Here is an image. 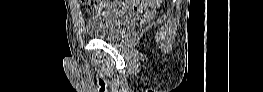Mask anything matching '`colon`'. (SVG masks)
I'll return each instance as SVG.
<instances>
[{
	"instance_id": "1",
	"label": "colon",
	"mask_w": 263,
	"mask_h": 92,
	"mask_svg": "<svg viewBox=\"0 0 263 92\" xmlns=\"http://www.w3.org/2000/svg\"><path fill=\"white\" fill-rule=\"evenodd\" d=\"M146 1H132V7L137 9L140 5L144 4ZM97 9V7H91L89 10L90 11H95Z\"/></svg>"
}]
</instances>
